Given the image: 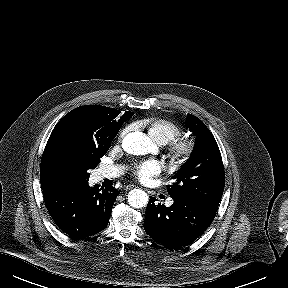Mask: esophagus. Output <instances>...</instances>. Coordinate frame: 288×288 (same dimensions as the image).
Returning a JSON list of instances; mask_svg holds the SVG:
<instances>
[{
  "label": "esophagus",
  "mask_w": 288,
  "mask_h": 288,
  "mask_svg": "<svg viewBox=\"0 0 288 288\" xmlns=\"http://www.w3.org/2000/svg\"><path fill=\"white\" fill-rule=\"evenodd\" d=\"M132 188H133V186H132V185H129V186H127L125 189L128 190V189H132Z\"/></svg>",
  "instance_id": "esophagus-1"
}]
</instances>
